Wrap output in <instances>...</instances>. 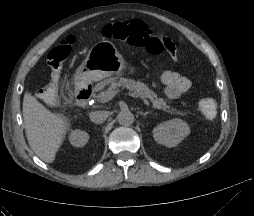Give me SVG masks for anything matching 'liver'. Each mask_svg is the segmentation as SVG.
Instances as JSON below:
<instances>
[{
    "instance_id": "obj_1",
    "label": "liver",
    "mask_w": 254,
    "mask_h": 216,
    "mask_svg": "<svg viewBox=\"0 0 254 216\" xmlns=\"http://www.w3.org/2000/svg\"><path fill=\"white\" fill-rule=\"evenodd\" d=\"M23 118L31 149L41 160L52 163L70 126L67 117L49 111L34 96L26 93Z\"/></svg>"
}]
</instances>
